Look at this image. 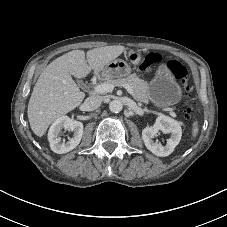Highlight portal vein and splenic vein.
I'll return each instance as SVG.
<instances>
[{
    "mask_svg": "<svg viewBox=\"0 0 227 227\" xmlns=\"http://www.w3.org/2000/svg\"><path fill=\"white\" fill-rule=\"evenodd\" d=\"M114 87L115 86L113 84L108 83V82H104V83L96 85L95 88H94V91L96 93H108V92H112ZM122 87H124L130 94L133 93V90L129 85L123 84ZM169 113L172 117H176L175 112H173L172 110H170Z\"/></svg>",
    "mask_w": 227,
    "mask_h": 227,
    "instance_id": "obj_1",
    "label": "portal vein and splenic vein"
}]
</instances>
